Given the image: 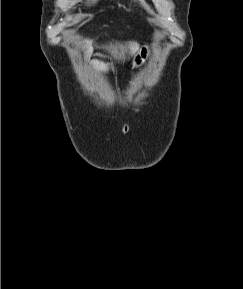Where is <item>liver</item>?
<instances>
[{
  "instance_id": "liver-1",
  "label": "liver",
  "mask_w": 243,
  "mask_h": 289,
  "mask_svg": "<svg viewBox=\"0 0 243 289\" xmlns=\"http://www.w3.org/2000/svg\"><path fill=\"white\" fill-rule=\"evenodd\" d=\"M83 47L86 48V55L87 57H89L92 52V40H84ZM106 49L109 50V52L113 55L114 58L118 60H125V54L128 53L130 56L134 55L139 49V44L132 41L128 42L125 45L119 43L115 45L110 44V46H106ZM91 64L94 69L99 71H108L109 69V63H104L103 61L92 60Z\"/></svg>"
}]
</instances>
